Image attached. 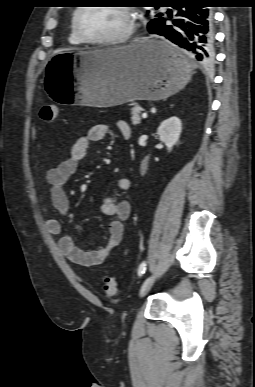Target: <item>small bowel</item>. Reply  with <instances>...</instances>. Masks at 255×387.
Instances as JSON below:
<instances>
[{
    "label": "small bowel",
    "instance_id": "small-bowel-1",
    "mask_svg": "<svg viewBox=\"0 0 255 387\" xmlns=\"http://www.w3.org/2000/svg\"><path fill=\"white\" fill-rule=\"evenodd\" d=\"M116 127L124 138L130 136V127L125 121H117ZM110 131L109 125L97 123L92 125L85 135L76 139L72 145L68 157L45 174V182L49 186L50 200L53 208L61 216L69 212L70 202L64 189V185L70 177L76 173L80 163L85 159L91 142L104 139ZM131 187V182L126 177L117 180L114 193L125 194ZM104 215L111 217L108 236L98 249L85 250L77 246L73 238L63 234L62 223L58 218L50 217L46 221L47 230L59 236L58 246L61 253L71 262L91 267L102 264L109 255L120 245L124 235L125 221L130 217L131 205L126 199H117L115 196H107L101 204Z\"/></svg>",
    "mask_w": 255,
    "mask_h": 387
}]
</instances>
